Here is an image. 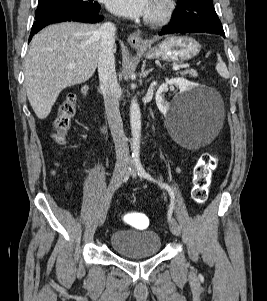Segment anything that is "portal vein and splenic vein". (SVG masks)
<instances>
[{
  "instance_id": "portal-vein-and-splenic-vein-1",
  "label": "portal vein and splenic vein",
  "mask_w": 267,
  "mask_h": 301,
  "mask_svg": "<svg viewBox=\"0 0 267 301\" xmlns=\"http://www.w3.org/2000/svg\"><path fill=\"white\" fill-rule=\"evenodd\" d=\"M189 65L188 64H184V65H176L173 67V70L174 71H179L181 68H185V67H188ZM69 67H74V65H70Z\"/></svg>"
}]
</instances>
